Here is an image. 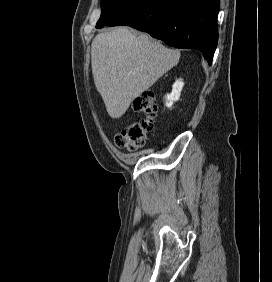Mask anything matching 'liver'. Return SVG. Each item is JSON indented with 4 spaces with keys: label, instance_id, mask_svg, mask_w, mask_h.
Listing matches in <instances>:
<instances>
[{
    "label": "liver",
    "instance_id": "liver-1",
    "mask_svg": "<svg viewBox=\"0 0 272 282\" xmlns=\"http://www.w3.org/2000/svg\"><path fill=\"white\" fill-rule=\"evenodd\" d=\"M180 51L147 34L117 27L98 34L91 44L92 74L110 117L120 118L131 102L174 67Z\"/></svg>",
    "mask_w": 272,
    "mask_h": 282
}]
</instances>
